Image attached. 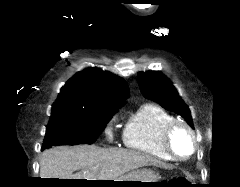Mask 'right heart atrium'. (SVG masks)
Returning <instances> with one entry per match:
<instances>
[{
  "mask_svg": "<svg viewBox=\"0 0 240 187\" xmlns=\"http://www.w3.org/2000/svg\"><path fill=\"white\" fill-rule=\"evenodd\" d=\"M115 121V117L110 118V120L106 123L104 131L108 139H111L113 136V123Z\"/></svg>",
  "mask_w": 240,
  "mask_h": 187,
  "instance_id": "1",
  "label": "right heart atrium"
}]
</instances>
